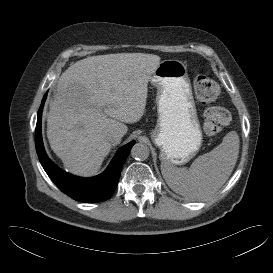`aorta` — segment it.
Here are the masks:
<instances>
[{
  "instance_id": "1",
  "label": "aorta",
  "mask_w": 273,
  "mask_h": 273,
  "mask_svg": "<svg viewBox=\"0 0 273 273\" xmlns=\"http://www.w3.org/2000/svg\"><path fill=\"white\" fill-rule=\"evenodd\" d=\"M149 154V147L143 143H136L131 149V156L136 160H146Z\"/></svg>"
}]
</instances>
